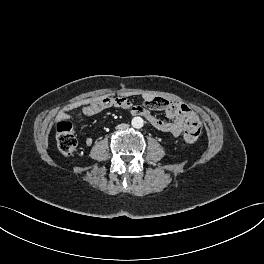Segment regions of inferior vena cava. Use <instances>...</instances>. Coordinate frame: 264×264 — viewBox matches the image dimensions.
<instances>
[{
  "label": "inferior vena cava",
  "instance_id": "inferior-vena-cava-1",
  "mask_svg": "<svg viewBox=\"0 0 264 264\" xmlns=\"http://www.w3.org/2000/svg\"><path fill=\"white\" fill-rule=\"evenodd\" d=\"M128 127H129L128 124H120V125L117 126V129H119V130L121 129L122 130V129H126Z\"/></svg>",
  "mask_w": 264,
  "mask_h": 264
}]
</instances>
